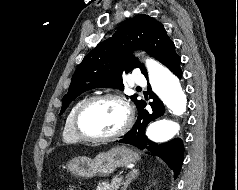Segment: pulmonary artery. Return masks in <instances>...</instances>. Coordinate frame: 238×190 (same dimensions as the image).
<instances>
[{"instance_id": "1", "label": "pulmonary artery", "mask_w": 238, "mask_h": 190, "mask_svg": "<svg viewBox=\"0 0 238 190\" xmlns=\"http://www.w3.org/2000/svg\"><path fill=\"white\" fill-rule=\"evenodd\" d=\"M132 84L136 86H144L145 85V79L142 75L138 73H134L132 76Z\"/></svg>"}]
</instances>
